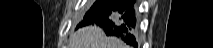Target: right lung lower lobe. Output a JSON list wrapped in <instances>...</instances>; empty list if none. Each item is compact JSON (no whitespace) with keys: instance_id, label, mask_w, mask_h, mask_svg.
<instances>
[{"instance_id":"obj_1","label":"right lung lower lobe","mask_w":213,"mask_h":48,"mask_svg":"<svg viewBox=\"0 0 213 48\" xmlns=\"http://www.w3.org/2000/svg\"><path fill=\"white\" fill-rule=\"evenodd\" d=\"M134 0H96L86 18L79 26L97 24L106 35L121 38L127 44L136 46L133 27L134 12L131 9Z\"/></svg>"}]
</instances>
